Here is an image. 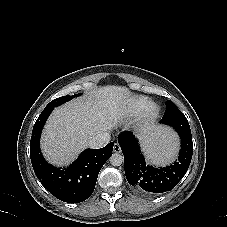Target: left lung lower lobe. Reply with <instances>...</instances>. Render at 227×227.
Returning a JSON list of instances; mask_svg holds the SVG:
<instances>
[{"mask_svg": "<svg viewBox=\"0 0 227 227\" xmlns=\"http://www.w3.org/2000/svg\"><path fill=\"white\" fill-rule=\"evenodd\" d=\"M160 123L173 127L181 139L178 160L170 166L156 168L146 164L132 132L125 131L118 136L124 154L126 179L137 193L145 196H158L172 190L186 174L192 159V135L185 115L170 104L166 106Z\"/></svg>", "mask_w": 227, "mask_h": 227, "instance_id": "left-lung-lower-lobe-1", "label": "left lung lower lobe"}]
</instances>
